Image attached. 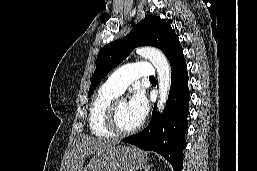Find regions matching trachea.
<instances>
[{
    "instance_id": "1",
    "label": "trachea",
    "mask_w": 257,
    "mask_h": 171,
    "mask_svg": "<svg viewBox=\"0 0 257 171\" xmlns=\"http://www.w3.org/2000/svg\"><path fill=\"white\" fill-rule=\"evenodd\" d=\"M149 79H150V80H155V78H154V77H150Z\"/></svg>"
}]
</instances>
